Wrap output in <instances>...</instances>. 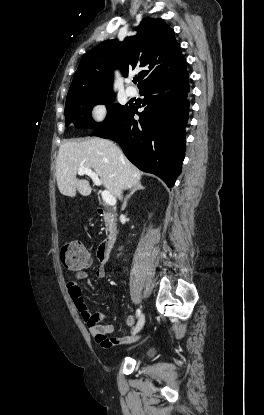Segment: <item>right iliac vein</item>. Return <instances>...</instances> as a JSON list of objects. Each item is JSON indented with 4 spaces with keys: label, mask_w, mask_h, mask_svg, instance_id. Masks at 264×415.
I'll use <instances>...</instances> for the list:
<instances>
[{
    "label": "right iliac vein",
    "mask_w": 264,
    "mask_h": 415,
    "mask_svg": "<svg viewBox=\"0 0 264 415\" xmlns=\"http://www.w3.org/2000/svg\"><path fill=\"white\" fill-rule=\"evenodd\" d=\"M144 323H145V315H144V314H142V315L140 316V318H139V320H138V322H137V324H136L135 328L133 329L132 334H133V335L137 334V333H138V332L142 329V327L144 326Z\"/></svg>",
    "instance_id": "63e3f726"
}]
</instances>
